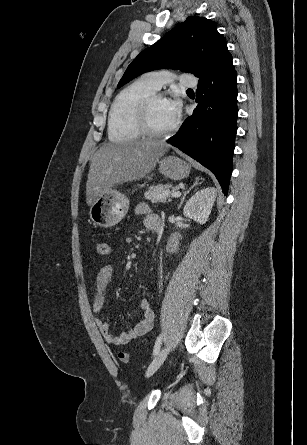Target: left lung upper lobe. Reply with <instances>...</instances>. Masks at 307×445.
I'll return each instance as SVG.
<instances>
[{
  "instance_id": "left-lung-upper-lobe-1",
  "label": "left lung upper lobe",
  "mask_w": 307,
  "mask_h": 445,
  "mask_svg": "<svg viewBox=\"0 0 307 445\" xmlns=\"http://www.w3.org/2000/svg\"><path fill=\"white\" fill-rule=\"evenodd\" d=\"M231 56L225 38L209 19L188 17L163 38L143 50L128 66L118 88L141 73L176 68L202 77Z\"/></svg>"
}]
</instances>
